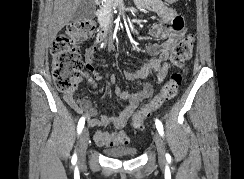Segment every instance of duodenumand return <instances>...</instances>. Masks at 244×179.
<instances>
[{
	"mask_svg": "<svg viewBox=\"0 0 244 179\" xmlns=\"http://www.w3.org/2000/svg\"><path fill=\"white\" fill-rule=\"evenodd\" d=\"M95 3L101 4V3H103V0H95ZM107 31H108V29L100 31L98 36H97V40L101 42L104 38H106L108 35H110L112 33L113 29L110 30L109 32H107Z\"/></svg>",
	"mask_w": 244,
	"mask_h": 179,
	"instance_id": "duodenum-1",
	"label": "duodenum"
}]
</instances>
